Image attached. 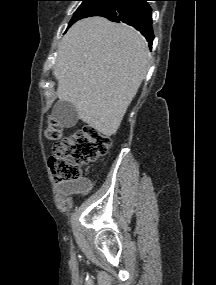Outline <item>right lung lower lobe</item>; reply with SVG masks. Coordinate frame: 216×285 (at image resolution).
<instances>
[{"instance_id": "1", "label": "right lung lower lobe", "mask_w": 216, "mask_h": 285, "mask_svg": "<svg viewBox=\"0 0 216 285\" xmlns=\"http://www.w3.org/2000/svg\"><path fill=\"white\" fill-rule=\"evenodd\" d=\"M147 1L150 0H118L114 5L104 9L95 16L106 17L113 22H124L133 26L145 36L152 48L154 39L152 29V9Z\"/></svg>"}]
</instances>
